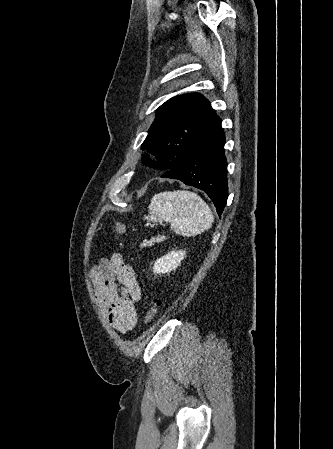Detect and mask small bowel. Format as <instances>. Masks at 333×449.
Here are the masks:
<instances>
[{
	"label": "small bowel",
	"instance_id": "small-bowel-1",
	"mask_svg": "<svg viewBox=\"0 0 333 449\" xmlns=\"http://www.w3.org/2000/svg\"><path fill=\"white\" fill-rule=\"evenodd\" d=\"M94 298L109 324L126 333L138 323L136 305L141 289L133 268L114 253L91 269Z\"/></svg>",
	"mask_w": 333,
	"mask_h": 449
}]
</instances>
